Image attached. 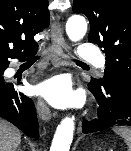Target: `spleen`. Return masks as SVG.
I'll return each instance as SVG.
<instances>
[{"label": "spleen", "instance_id": "obj_1", "mask_svg": "<svg viewBox=\"0 0 131 151\" xmlns=\"http://www.w3.org/2000/svg\"><path fill=\"white\" fill-rule=\"evenodd\" d=\"M113 131L123 138L127 145L128 151H131V128L127 127H115Z\"/></svg>", "mask_w": 131, "mask_h": 151}]
</instances>
